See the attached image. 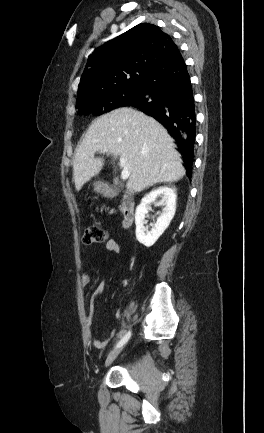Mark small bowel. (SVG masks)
<instances>
[{
	"instance_id": "obj_1",
	"label": "small bowel",
	"mask_w": 264,
	"mask_h": 433,
	"mask_svg": "<svg viewBox=\"0 0 264 433\" xmlns=\"http://www.w3.org/2000/svg\"><path fill=\"white\" fill-rule=\"evenodd\" d=\"M106 249L110 253L116 254V255L121 252L120 245L118 244V242H116L113 239H109L106 242ZM90 281H91V277H90L89 273L83 272L82 275H81V283L84 286H86V285H88L90 283ZM104 291H105V285H104V283L99 284L97 286L96 290H95L94 298L97 297V296L102 295L104 293ZM92 322H93V305H91L90 311H89L88 315L86 316L87 326L91 327ZM115 334H116V330L112 329L109 332V339L108 340H99V339H96V340L93 341V346L95 348H97V349H103V348H105L107 346V344L109 343L110 339H112L115 336Z\"/></svg>"
}]
</instances>
